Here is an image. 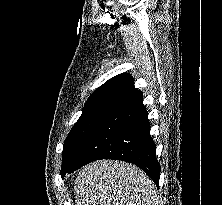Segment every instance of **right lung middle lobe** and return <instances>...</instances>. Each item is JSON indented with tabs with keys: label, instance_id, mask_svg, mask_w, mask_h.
<instances>
[{
	"label": "right lung middle lobe",
	"instance_id": "dd1d6c3e",
	"mask_svg": "<svg viewBox=\"0 0 222 205\" xmlns=\"http://www.w3.org/2000/svg\"><path fill=\"white\" fill-rule=\"evenodd\" d=\"M108 111L82 114L67 136L62 152L61 174L71 165L79 149Z\"/></svg>",
	"mask_w": 222,
	"mask_h": 205
}]
</instances>
